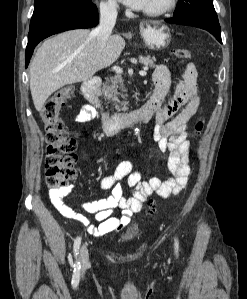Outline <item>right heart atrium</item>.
<instances>
[{"mask_svg":"<svg viewBox=\"0 0 247 299\" xmlns=\"http://www.w3.org/2000/svg\"><path fill=\"white\" fill-rule=\"evenodd\" d=\"M99 9L102 16L112 18L117 13V4L115 0H101L99 3Z\"/></svg>","mask_w":247,"mask_h":299,"instance_id":"1","label":"right heart atrium"}]
</instances>
